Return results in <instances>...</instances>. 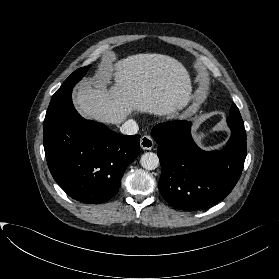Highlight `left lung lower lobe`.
<instances>
[{
  "label": "left lung lower lobe",
  "instance_id": "left-lung-lower-lobe-1",
  "mask_svg": "<svg viewBox=\"0 0 279 279\" xmlns=\"http://www.w3.org/2000/svg\"><path fill=\"white\" fill-rule=\"evenodd\" d=\"M231 137L222 151L206 152L193 141L191 123L157 124L152 136L159 145V190L172 207L203 210L226 197L240 178L247 153L244 127L228 124Z\"/></svg>",
  "mask_w": 279,
  "mask_h": 279
}]
</instances>
